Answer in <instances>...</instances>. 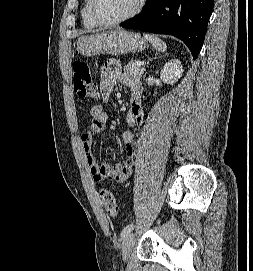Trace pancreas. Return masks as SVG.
Instances as JSON below:
<instances>
[{
  "mask_svg": "<svg viewBox=\"0 0 253 271\" xmlns=\"http://www.w3.org/2000/svg\"><path fill=\"white\" fill-rule=\"evenodd\" d=\"M124 71L136 78H141L145 68L138 66L137 61L132 60L124 67Z\"/></svg>",
  "mask_w": 253,
  "mask_h": 271,
  "instance_id": "pancreas-1",
  "label": "pancreas"
}]
</instances>
